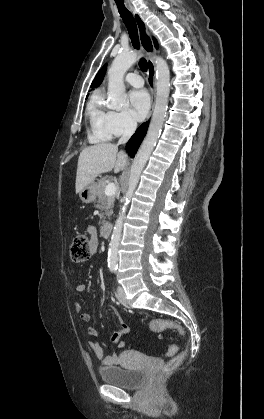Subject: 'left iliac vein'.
<instances>
[{"label":"left iliac vein","instance_id":"4c4485c4","mask_svg":"<svg viewBox=\"0 0 264 419\" xmlns=\"http://www.w3.org/2000/svg\"><path fill=\"white\" fill-rule=\"evenodd\" d=\"M117 293H118V297H119V299L123 302V303H126V301H127V299H126V294H125V292H124V289H123V287L122 286H118V288H117Z\"/></svg>","mask_w":264,"mask_h":419}]
</instances>
